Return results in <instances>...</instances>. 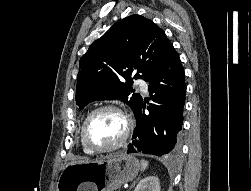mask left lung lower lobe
<instances>
[{
  "instance_id": "obj_1",
  "label": "left lung lower lobe",
  "mask_w": 251,
  "mask_h": 191,
  "mask_svg": "<svg viewBox=\"0 0 251 191\" xmlns=\"http://www.w3.org/2000/svg\"><path fill=\"white\" fill-rule=\"evenodd\" d=\"M149 115L142 101L135 114L136 128L127 153L174 156L179 150V131L183 124L186 84L178 53L170 50L149 80ZM154 93V95H152Z\"/></svg>"
}]
</instances>
